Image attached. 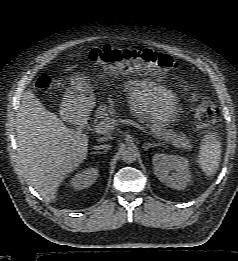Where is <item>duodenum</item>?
<instances>
[{"mask_svg":"<svg viewBox=\"0 0 238 261\" xmlns=\"http://www.w3.org/2000/svg\"><path fill=\"white\" fill-rule=\"evenodd\" d=\"M76 121L81 128L87 127L90 123V119L88 117H80Z\"/></svg>","mask_w":238,"mask_h":261,"instance_id":"1","label":"duodenum"}]
</instances>
